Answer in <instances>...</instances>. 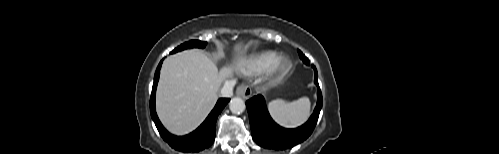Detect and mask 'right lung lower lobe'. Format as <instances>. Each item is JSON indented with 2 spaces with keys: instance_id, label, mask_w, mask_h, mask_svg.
I'll use <instances>...</instances> for the list:
<instances>
[{
  "instance_id": "right-lung-lower-lobe-1",
  "label": "right lung lower lobe",
  "mask_w": 499,
  "mask_h": 154,
  "mask_svg": "<svg viewBox=\"0 0 499 154\" xmlns=\"http://www.w3.org/2000/svg\"><path fill=\"white\" fill-rule=\"evenodd\" d=\"M162 61L158 65L150 98V113L161 137L174 149L181 152H199L212 145L215 139V127L218 115L229 102L228 98H220L206 120L192 133L186 136L170 134L161 124L155 110V93L159 80Z\"/></svg>"
}]
</instances>
